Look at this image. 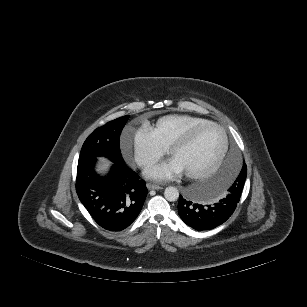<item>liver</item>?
Returning <instances> with one entry per match:
<instances>
[{
    "instance_id": "6515ba94",
    "label": "liver",
    "mask_w": 307,
    "mask_h": 307,
    "mask_svg": "<svg viewBox=\"0 0 307 307\" xmlns=\"http://www.w3.org/2000/svg\"><path fill=\"white\" fill-rule=\"evenodd\" d=\"M101 162L102 165L100 166V170H106L110 162L104 158L101 159Z\"/></svg>"
}]
</instances>
